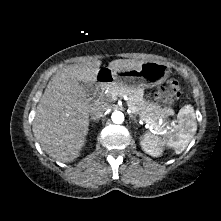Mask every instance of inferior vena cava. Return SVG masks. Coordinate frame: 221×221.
Masks as SVG:
<instances>
[{
    "instance_id": "obj_1",
    "label": "inferior vena cava",
    "mask_w": 221,
    "mask_h": 221,
    "mask_svg": "<svg viewBox=\"0 0 221 221\" xmlns=\"http://www.w3.org/2000/svg\"><path fill=\"white\" fill-rule=\"evenodd\" d=\"M108 109L106 104L97 103L91 107L90 115L91 119L98 120L104 116L105 111Z\"/></svg>"
}]
</instances>
